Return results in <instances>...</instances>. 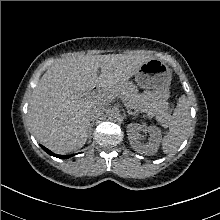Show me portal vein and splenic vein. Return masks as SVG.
<instances>
[{"instance_id":"1","label":"portal vein and splenic vein","mask_w":220,"mask_h":220,"mask_svg":"<svg viewBox=\"0 0 220 220\" xmlns=\"http://www.w3.org/2000/svg\"><path fill=\"white\" fill-rule=\"evenodd\" d=\"M96 94L93 92V93H88L86 96L87 97H91V96H95Z\"/></svg>"}]
</instances>
